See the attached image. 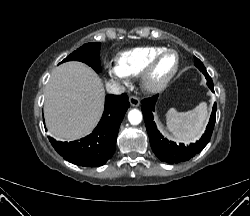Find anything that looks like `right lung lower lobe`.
I'll list each match as a JSON object with an SVG mask.
<instances>
[{"instance_id": "obj_1", "label": "right lung lower lobe", "mask_w": 250, "mask_h": 216, "mask_svg": "<svg viewBox=\"0 0 250 216\" xmlns=\"http://www.w3.org/2000/svg\"><path fill=\"white\" fill-rule=\"evenodd\" d=\"M130 103L124 93L107 95L103 116L95 130L85 138L73 142H59L49 137L55 150L67 161L83 166L98 167L114 154L120 123Z\"/></svg>"}]
</instances>
